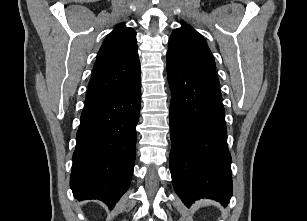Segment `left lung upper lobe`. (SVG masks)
I'll list each match as a JSON object with an SVG mask.
<instances>
[{
	"label": "left lung upper lobe",
	"mask_w": 307,
	"mask_h": 221,
	"mask_svg": "<svg viewBox=\"0 0 307 221\" xmlns=\"http://www.w3.org/2000/svg\"><path fill=\"white\" fill-rule=\"evenodd\" d=\"M167 55L207 84L220 89L216 65L205 39L192 27L182 23L169 39Z\"/></svg>",
	"instance_id": "obj_1"
}]
</instances>
